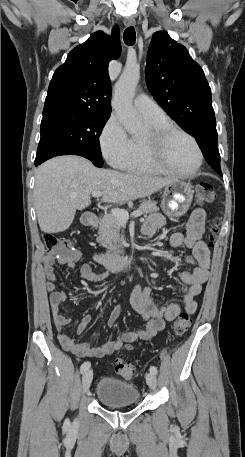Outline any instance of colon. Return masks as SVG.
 Segmentation results:
<instances>
[{"instance_id": "5ec220e1", "label": "colon", "mask_w": 245, "mask_h": 457, "mask_svg": "<svg viewBox=\"0 0 245 457\" xmlns=\"http://www.w3.org/2000/svg\"><path fill=\"white\" fill-rule=\"evenodd\" d=\"M196 197L200 203H212L216 194L213 186L210 183L202 182L196 186ZM209 243L212 244L215 240L217 232V221H210L208 228ZM43 242L47 253L52 256H75L76 251L70 240L59 237L53 233H45ZM191 325V319L187 313H181L174 322L173 330L176 335H183ZM115 371L123 378L130 379L136 372L135 366L127 359L119 357L115 360Z\"/></svg>"}]
</instances>
